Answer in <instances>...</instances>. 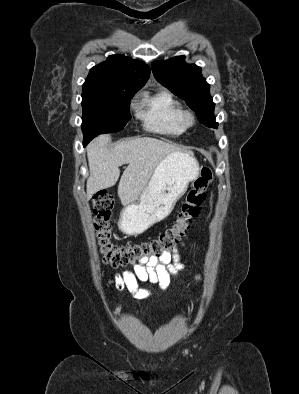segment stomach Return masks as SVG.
Masks as SVG:
<instances>
[{
  "label": "stomach",
  "instance_id": "0dacf381",
  "mask_svg": "<svg viewBox=\"0 0 299 394\" xmlns=\"http://www.w3.org/2000/svg\"><path fill=\"white\" fill-rule=\"evenodd\" d=\"M198 173L199 164L193 155L182 151L168 154L156 167L138 201L122 210L120 230L127 235H138L163 220Z\"/></svg>",
  "mask_w": 299,
  "mask_h": 394
}]
</instances>
